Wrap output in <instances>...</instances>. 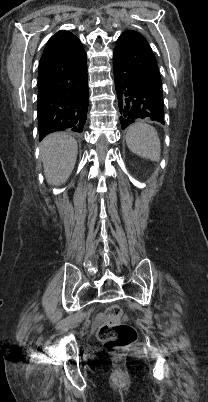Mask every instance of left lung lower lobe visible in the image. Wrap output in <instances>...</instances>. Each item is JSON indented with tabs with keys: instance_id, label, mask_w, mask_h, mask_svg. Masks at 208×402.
<instances>
[{
	"instance_id": "left-lung-lower-lobe-1",
	"label": "left lung lower lobe",
	"mask_w": 208,
	"mask_h": 402,
	"mask_svg": "<svg viewBox=\"0 0 208 402\" xmlns=\"http://www.w3.org/2000/svg\"><path fill=\"white\" fill-rule=\"evenodd\" d=\"M113 72L122 129L139 119L164 124L158 65L141 34L126 31L120 35L113 54Z\"/></svg>"
}]
</instances>
